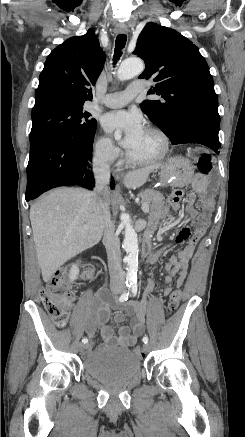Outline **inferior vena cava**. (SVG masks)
Here are the masks:
<instances>
[{"mask_svg": "<svg viewBox=\"0 0 245 437\" xmlns=\"http://www.w3.org/2000/svg\"><path fill=\"white\" fill-rule=\"evenodd\" d=\"M93 174L96 185L95 190L99 195L105 196L108 192L107 185L110 181L109 154L105 153L93 159ZM101 209L104 217L103 244L108 257L110 282L112 285H124L125 273L121 266L120 240L114 232L109 211V202L106 198L101 201Z\"/></svg>", "mask_w": 245, "mask_h": 437, "instance_id": "602c4592", "label": "inferior vena cava"}]
</instances>
